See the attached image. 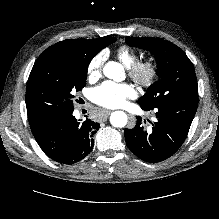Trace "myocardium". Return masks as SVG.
Wrapping results in <instances>:
<instances>
[{
	"mask_svg": "<svg viewBox=\"0 0 219 219\" xmlns=\"http://www.w3.org/2000/svg\"><path fill=\"white\" fill-rule=\"evenodd\" d=\"M130 78L141 87H150L156 81L159 69L157 63L152 59L136 61L128 68Z\"/></svg>",
	"mask_w": 219,
	"mask_h": 219,
	"instance_id": "obj_1",
	"label": "myocardium"
}]
</instances>
